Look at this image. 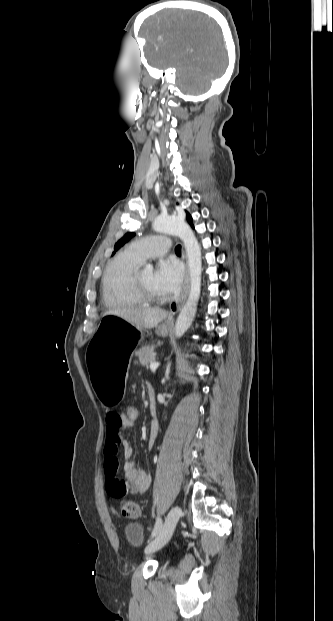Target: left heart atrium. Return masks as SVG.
Masks as SVG:
<instances>
[{"mask_svg": "<svg viewBox=\"0 0 333 621\" xmlns=\"http://www.w3.org/2000/svg\"><path fill=\"white\" fill-rule=\"evenodd\" d=\"M154 281L164 294L176 293L183 282V270L175 261H162L154 272Z\"/></svg>", "mask_w": 333, "mask_h": 621, "instance_id": "1", "label": "left heart atrium"}]
</instances>
